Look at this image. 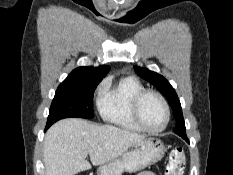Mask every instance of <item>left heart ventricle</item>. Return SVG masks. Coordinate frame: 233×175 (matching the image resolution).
<instances>
[{
  "mask_svg": "<svg viewBox=\"0 0 233 175\" xmlns=\"http://www.w3.org/2000/svg\"><path fill=\"white\" fill-rule=\"evenodd\" d=\"M140 116L151 129L160 128L165 122V112L160 100L154 95H147L140 105Z\"/></svg>",
  "mask_w": 233,
  "mask_h": 175,
  "instance_id": "1",
  "label": "left heart ventricle"
}]
</instances>
